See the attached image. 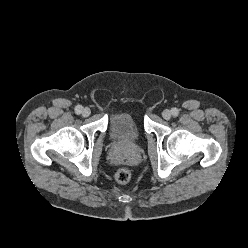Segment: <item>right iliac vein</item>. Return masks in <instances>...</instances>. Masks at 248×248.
I'll use <instances>...</instances> for the list:
<instances>
[{"label":"right iliac vein","instance_id":"obj_1","mask_svg":"<svg viewBox=\"0 0 248 248\" xmlns=\"http://www.w3.org/2000/svg\"><path fill=\"white\" fill-rule=\"evenodd\" d=\"M90 113H91V111H90V109L89 108H84L83 110H82V115L84 116V117H88L89 115H90Z\"/></svg>","mask_w":248,"mask_h":248}]
</instances>
